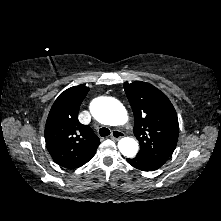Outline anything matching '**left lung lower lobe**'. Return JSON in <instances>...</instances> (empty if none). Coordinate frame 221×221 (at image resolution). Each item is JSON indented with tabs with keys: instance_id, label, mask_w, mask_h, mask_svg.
<instances>
[{
	"instance_id": "1",
	"label": "left lung lower lobe",
	"mask_w": 221,
	"mask_h": 221,
	"mask_svg": "<svg viewBox=\"0 0 221 221\" xmlns=\"http://www.w3.org/2000/svg\"><path fill=\"white\" fill-rule=\"evenodd\" d=\"M127 162L133 167L142 171H154V170L159 169L162 166L156 162L147 160L138 155H136V157L132 159L127 158Z\"/></svg>"
}]
</instances>
